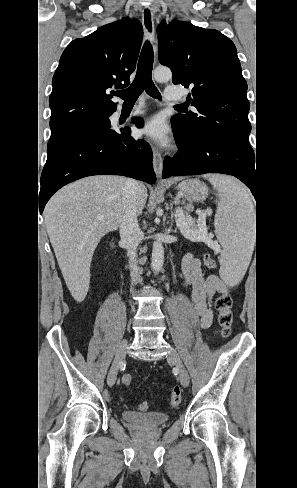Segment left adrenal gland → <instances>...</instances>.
Masks as SVG:
<instances>
[{"instance_id": "obj_1", "label": "left adrenal gland", "mask_w": 297, "mask_h": 488, "mask_svg": "<svg viewBox=\"0 0 297 488\" xmlns=\"http://www.w3.org/2000/svg\"><path fill=\"white\" fill-rule=\"evenodd\" d=\"M171 214H173V202L170 203Z\"/></svg>"}]
</instances>
